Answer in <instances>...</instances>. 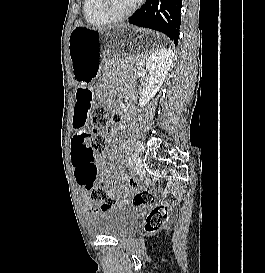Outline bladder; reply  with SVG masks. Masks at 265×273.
Segmentation results:
<instances>
[{"instance_id":"obj_1","label":"bladder","mask_w":265,"mask_h":273,"mask_svg":"<svg viewBox=\"0 0 265 273\" xmlns=\"http://www.w3.org/2000/svg\"><path fill=\"white\" fill-rule=\"evenodd\" d=\"M92 235H103L118 240L132 235L138 224L137 210L126 204H119L91 213L85 220Z\"/></svg>"}]
</instances>
